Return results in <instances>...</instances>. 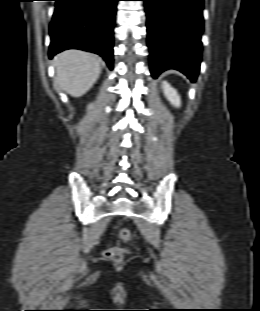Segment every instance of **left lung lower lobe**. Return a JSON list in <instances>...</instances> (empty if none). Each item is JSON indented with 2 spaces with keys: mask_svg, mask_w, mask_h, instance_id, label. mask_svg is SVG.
<instances>
[{
  "mask_svg": "<svg viewBox=\"0 0 260 311\" xmlns=\"http://www.w3.org/2000/svg\"><path fill=\"white\" fill-rule=\"evenodd\" d=\"M143 1L153 78L176 69L195 81L201 62L203 0Z\"/></svg>",
  "mask_w": 260,
  "mask_h": 311,
  "instance_id": "0a47b994",
  "label": "left lung lower lobe"
}]
</instances>
